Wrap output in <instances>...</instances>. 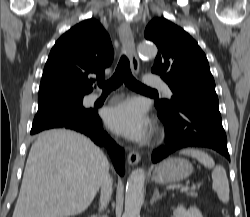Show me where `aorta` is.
Wrapping results in <instances>:
<instances>
[{
    "mask_svg": "<svg viewBox=\"0 0 250 217\" xmlns=\"http://www.w3.org/2000/svg\"><path fill=\"white\" fill-rule=\"evenodd\" d=\"M138 53L142 57L154 58L157 55V47L154 44L142 43L138 47ZM144 181L145 172L142 168H138L130 174L126 185L123 217H140Z\"/></svg>",
    "mask_w": 250,
    "mask_h": 217,
    "instance_id": "762f6f07",
    "label": "aorta"
}]
</instances>
